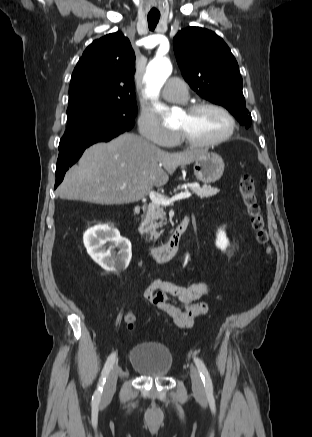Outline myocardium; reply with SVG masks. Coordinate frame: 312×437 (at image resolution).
I'll list each match as a JSON object with an SVG mask.
<instances>
[{"mask_svg":"<svg viewBox=\"0 0 312 437\" xmlns=\"http://www.w3.org/2000/svg\"><path fill=\"white\" fill-rule=\"evenodd\" d=\"M206 108L215 109V110L219 111L220 113H222L226 117V119L228 121L227 131L223 135H221L217 138H214L211 140H206V141H199V140L191 138L185 131L178 130L179 139L183 144H186V145L192 146V147L215 146V145H218V144H221V143L227 141L235 133V130H236L235 117L226 107H224L221 104H218L215 102H209V101L194 103V104L187 107L186 113L188 115H193L196 112H198L202 109H206Z\"/></svg>","mask_w":312,"mask_h":437,"instance_id":"1","label":"myocardium"}]
</instances>
